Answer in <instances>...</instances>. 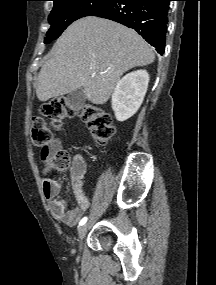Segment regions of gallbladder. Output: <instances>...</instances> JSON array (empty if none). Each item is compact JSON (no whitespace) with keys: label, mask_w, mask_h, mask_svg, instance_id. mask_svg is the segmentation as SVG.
Segmentation results:
<instances>
[{"label":"gallbladder","mask_w":216,"mask_h":285,"mask_svg":"<svg viewBox=\"0 0 216 285\" xmlns=\"http://www.w3.org/2000/svg\"><path fill=\"white\" fill-rule=\"evenodd\" d=\"M66 103L71 109H79L85 103V94L83 89H77L69 93L66 97Z\"/></svg>","instance_id":"bac80fb5"}]
</instances>
